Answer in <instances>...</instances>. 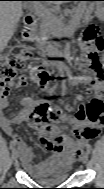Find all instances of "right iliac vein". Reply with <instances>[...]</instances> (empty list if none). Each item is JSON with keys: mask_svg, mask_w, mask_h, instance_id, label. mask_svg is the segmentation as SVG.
I'll use <instances>...</instances> for the list:
<instances>
[{"mask_svg": "<svg viewBox=\"0 0 104 189\" xmlns=\"http://www.w3.org/2000/svg\"><path fill=\"white\" fill-rule=\"evenodd\" d=\"M19 157V152L17 150H13L12 152V159L16 161Z\"/></svg>", "mask_w": 104, "mask_h": 189, "instance_id": "1", "label": "right iliac vein"}]
</instances>
